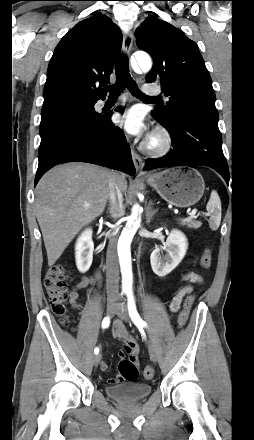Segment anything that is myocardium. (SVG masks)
<instances>
[{
	"instance_id": "1",
	"label": "myocardium",
	"mask_w": 254,
	"mask_h": 440,
	"mask_svg": "<svg viewBox=\"0 0 254 440\" xmlns=\"http://www.w3.org/2000/svg\"><path fill=\"white\" fill-rule=\"evenodd\" d=\"M173 138L169 130L164 126H158L151 137L143 145V149L151 156H163L172 147Z\"/></svg>"
}]
</instances>
